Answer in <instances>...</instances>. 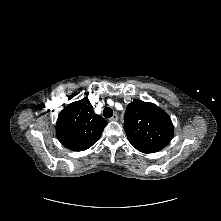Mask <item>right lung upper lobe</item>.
Wrapping results in <instances>:
<instances>
[{"instance_id":"right-lung-upper-lobe-1","label":"right lung upper lobe","mask_w":221,"mask_h":221,"mask_svg":"<svg viewBox=\"0 0 221 221\" xmlns=\"http://www.w3.org/2000/svg\"><path fill=\"white\" fill-rule=\"evenodd\" d=\"M107 121L93 111L87 97L66 106L56 123L57 138L73 151H84L97 142Z\"/></svg>"}]
</instances>
